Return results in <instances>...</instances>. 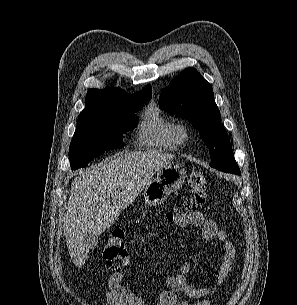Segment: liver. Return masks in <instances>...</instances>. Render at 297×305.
Returning a JSON list of instances; mask_svg holds the SVG:
<instances>
[{"label":"liver","mask_w":297,"mask_h":305,"mask_svg":"<svg viewBox=\"0 0 297 305\" xmlns=\"http://www.w3.org/2000/svg\"><path fill=\"white\" fill-rule=\"evenodd\" d=\"M173 158L154 150L119 154L74 179L64 216V236L78 268L89 253L85 234L100 235L108 229L120 210L129 206L155 172Z\"/></svg>","instance_id":"1"}]
</instances>
